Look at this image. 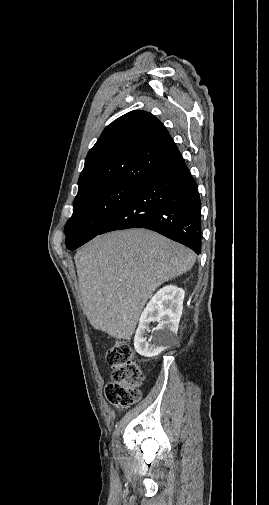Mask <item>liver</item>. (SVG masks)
<instances>
[{
  "mask_svg": "<svg viewBox=\"0 0 269 505\" xmlns=\"http://www.w3.org/2000/svg\"><path fill=\"white\" fill-rule=\"evenodd\" d=\"M83 311L90 324L130 339L157 287L192 268L189 248L146 229L97 236L74 257Z\"/></svg>",
  "mask_w": 269,
  "mask_h": 505,
  "instance_id": "6515ba94",
  "label": "liver"
}]
</instances>
